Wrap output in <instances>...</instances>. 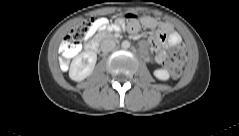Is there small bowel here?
<instances>
[{
  "label": "small bowel",
  "mask_w": 239,
  "mask_h": 136,
  "mask_svg": "<svg viewBox=\"0 0 239 136\" xmlns=\"http://www.w3.org/2000/svg\"><path fill=\"white\" fill-rule=\"evenodd\" d=\"M143 27L149 30H155L150 34L149 42L152 49L156 52V61L163 63L166 60L167 52L163 49L166 45H177L181 42L180 35L173 31L172 26L166 22H158L150 16H144L140 23H130L127 25V30L133 36H137L140 28ZM98 28H107L110 31H119L125 28L122 20H117L114 24L108 25V22L104 19H97L96 25L91 35ZM88 35V36H89Z\"/></svg>",
  "instance_id": "small-bowel-1"
}]
</instances>
